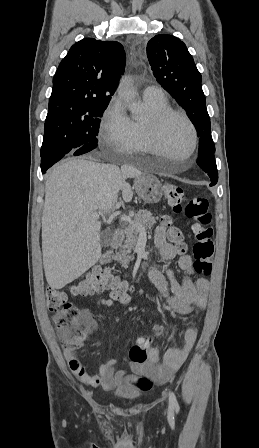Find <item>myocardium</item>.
Here are the masks:
<instances>
[{
    "mask_svg": "<svg viewBox=\"0 0 259 448\" xmlns=\"http://www.w3.org/2000/svg\"><path fill=\"white\" fill-rule=\"evenodd\" d=\"M172 118L182 119L188 126L192 136V142L190 147V160L194 162L197 157V144H198V132L190 119V117L183 111L178 109H167L158 113H151L145 121V126L148 135V141L152 149L161 150L165 149L162 143V129L167 121ZM145 154H149V151H145ZM152 171H162L158 169H152Z\"/></svg>",
    "mask_w": 259,
    "mask_h": 448,
    "instance_id": "f54148a6",
    "label": "myocardium"
}]
</instances>
